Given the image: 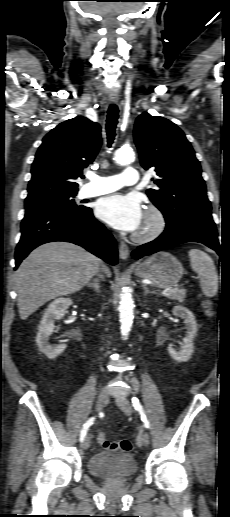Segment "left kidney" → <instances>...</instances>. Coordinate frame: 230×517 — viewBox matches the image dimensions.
I'll list each match as a JSON object with an SVG mask.
<instances>
[{"label":"left kidney","instance_id":"1","mask_svg":"<svg viewBox=\"0 0 230 517\" xmlns=\"http://www.w3.org/2000/svg\"><path fill=\"white\" fill-rule=\"evenodd\" d=\"M174 316L184 319L186 335L183 339V345L180 350H176L169 346L167 348L170 356L178 362H186L191 358L194 351V337L197 333V323L193 313L183 306H175L172 310Z\"/></svg>","mask_w":230,"mask_h":517}]
</instances>
